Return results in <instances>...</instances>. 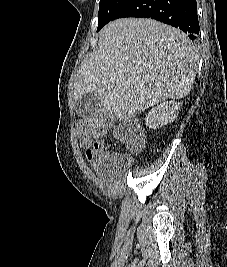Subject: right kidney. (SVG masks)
Segmentation results:
<instances>
[{"label":"right kidney","mask_w":227,"mask_h":267,"mask_svg":"<svg viewBox=\"0 0 227 267\" xmlns=\"http://www.w3.org/2000/svg\"><path fill=\"white\" fill-rule=\"evenodd\" d=\"M179 109V102L164 101L146 115V125L152 129L167 125L178 117Z\"/></svg>","instance_id":"right-kidney-1"}]
</instances>
